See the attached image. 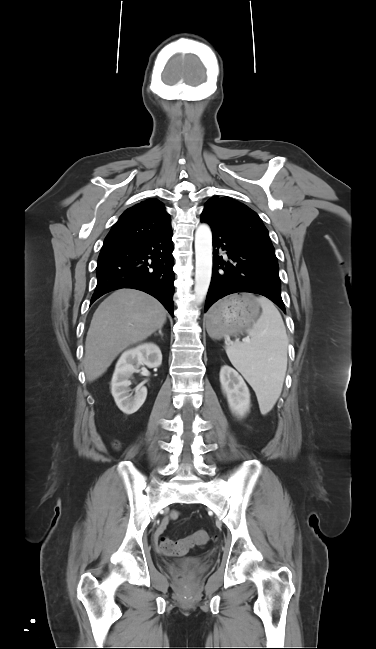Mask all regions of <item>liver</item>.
<instances>
[{
  "instance_id": "obj_1",
  "label": "liver",
  "mask_w": 376,
  "mask_h": 649,
  "mask_svg": "<svg viewBox=\"0 0 376 649\" xmlns=\"http://www.w3.org/2000/svg\"><path fill=\"white\" fill-rule=\"evenodd\" d=\"M166 310L151 295L123 288L96 309L85 342L86 379L99 378L124 349L150 336L166 321Z\"/></svg>"
}]
</instances>
